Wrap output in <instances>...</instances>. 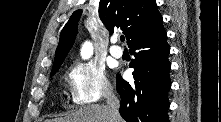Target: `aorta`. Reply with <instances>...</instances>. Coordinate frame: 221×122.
Returning a JSON list of instances; mask_svg holds the SVG:
<instances>
[{
  "label": "aorta",
  "instance_id": "aorta-1",
  "mask_svg": "<svg viewBox=\"0 0 221 122\" xmlns=\"http://www.w3.org/2000/svg\"><path fill=\"white\" fill-rule=\"evenodd\" d=\"M93 47L91 42L87 41L83 44L81 49L82 58L87 59L92 55Z\"/></svg>",
  "mask_w": 221,
  "mask_h": 122
}]
</instances>
